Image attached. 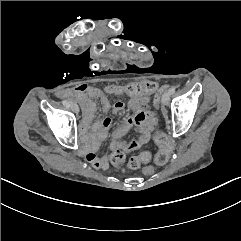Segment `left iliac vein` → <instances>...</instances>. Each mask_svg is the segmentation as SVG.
<instances>
[{"label": "left iliac vein", "instance_id": "left-iliac-vein-1", "mask_svg": "<svg viewBox=\"0 0 241 241\" xmlns=\"http://www.w3.org/2000/svg\"><path fill=\"white\" fill-rule=\"evenodd\" d=\"M169 100H170V95H169V93H164L163 95H162V103L164 104V105H167L168 103H169Z\"/></svg>", "mask_w": 241, "mask_h": 241}]
</instances>
